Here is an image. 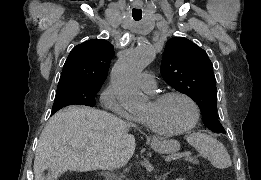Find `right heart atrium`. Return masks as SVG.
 Here are the masks:
<instances>
[{
	"instance_id": "1",
	"label": "right heart atrium",
	"mask_w": 261,
	"mask_h": 180,
	"mask_svg": "<svg viewBox=\"0 0 261 180\" xmlns=\"http://www.w3.org/2000/svg\"><path fill=\"white\" fill-rule=\"evenodd\" d=\"M101 104L103 108H110V112H117L118 117H125V120H128V125L126 127H132V118L129 113L123 109V107L119 104V101L114 95L113 87L110 84L105 88V90L101 94Z\"/></svg>"
}]
</instances>
